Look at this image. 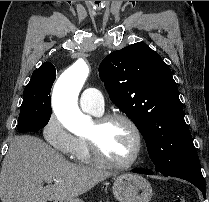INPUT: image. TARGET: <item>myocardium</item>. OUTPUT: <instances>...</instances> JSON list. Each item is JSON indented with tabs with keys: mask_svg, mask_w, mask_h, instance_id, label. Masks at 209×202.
I'll list each match as a JSON object with an SVG mask.
<instances>
[{
	"mask_svg": "<svg viewBox=\"0 0 209 202\" xmlns=\"http://www.w3.org/2000/svg\"><path fill=\"white\" fill-rule=\"evenodd\" d=\"M113 121H123L126 124L129 125L131 130L134 133L135 136V150L133 152L132 157L126 161V162H114L110 159H108L105 154L102 152L98 140L95 136H86L85 140L87 142L91 157L94 161H96L98 164L108 167L111 169H117V170H124L129 169L136 165L138 161L141 159L143 150H144V139L143 134L137 125V123L127 114L124 113H110L107 115L100 116L96 119V128L98 130L103 129L106 125Z\"/></svg>",
	"mask_w": 209,
	"mask_h": 202,
	"instance_id": "myocardium-1",
	"label": "myocardium"
}]
</instances>
